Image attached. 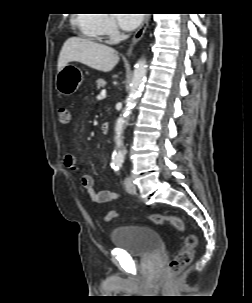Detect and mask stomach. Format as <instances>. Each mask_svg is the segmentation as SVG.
<instances>
[{
    "label": "stomach",
    "instance_id": "1",
    "mask_svg": "<svg viewBox=\"0 0 252 303\" xmlns=\"http://www.w3.org/2000/svg\"><path fill=\"white\" fill-rule=\"evenodd\" d=\"M83 81V73L81 69L74 65H65L56 75V90L63 95L69 96L73 94Z\"/></svg>",
    "mask_w": 252,
    "mask_h": 303
}]
</instances>
